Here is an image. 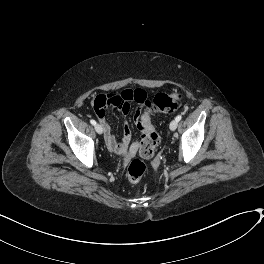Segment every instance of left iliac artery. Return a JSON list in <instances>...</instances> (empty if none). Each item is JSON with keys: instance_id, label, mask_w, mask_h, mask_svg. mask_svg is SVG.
<instances>
[{"instance_id": "44dca946", "label": "left iliac artery", "mask_w": 264, "mask_h": 264, "mask_svg": "<svg viewBox=\"0 0 264 264\" xmlns=\"http://www.w3.org/2000/svg\"><path fill=\"white\" fill-rule=\"evenodd\" d=\"M182 119V116L181 115H178L177 117H176V120L177 121H180Z\"/></svg>"}]
</instances>
